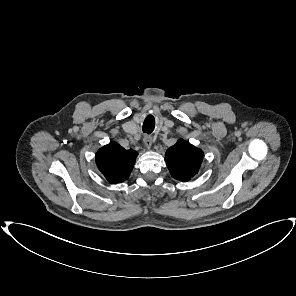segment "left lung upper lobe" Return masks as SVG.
<instances>
[{
    "mask_svg": "<svg viewBox=\"0 0 296 296\" xmlns=\"http://www.w3.org/2000/svg\"><path fill=\"white\" fill-rule=\"evenodd\" d=\"M202 159L203 152L182 139L165 154V161L172 177L184 182L198 173Z\"/></svg>",
    "mask_w": 296,
    "mask_h": 296,
    "instance_id": "obj_1",
    "label": "left lung upper lobe"
}]
</instances>
